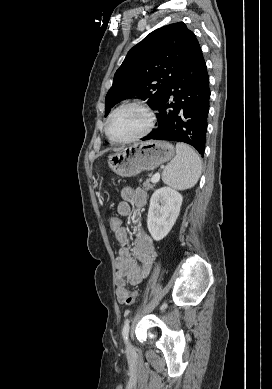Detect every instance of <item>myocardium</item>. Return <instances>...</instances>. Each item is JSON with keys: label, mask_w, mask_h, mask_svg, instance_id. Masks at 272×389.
Returning a JSON list of instances; mask_svg holds the SVG:
<instances>
[{"label": "myocardium", "mask_w": 272, "mask_h": 389, "mask_svg": "<svg viewBox=\"0 0 272 389\" xmlns=\"http://www.w3.org/2000/svg\"><path fill=\"white\" fill-rule=\"evenodd\" d=\"M127 107H136V108L140 109L145 114V116L147 118L146 125L140 132H138L137 134H135L132 137H129L127 139H122V140L113 139L110 135V132H109L110 121L119 110H121L123 108H127ZM154 124H155V114H154L153 110L147 104H145L141 101H128V102L122 103L119 106H117L109 114V116L106 120V123H105V134H106V137L108 138V140L113 144H127V143L134 142L136 140H139V139L145 137L146 135H148L151 132Z\"/></svg>", "instance_id": "1"}]
</instances>
